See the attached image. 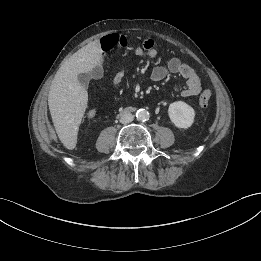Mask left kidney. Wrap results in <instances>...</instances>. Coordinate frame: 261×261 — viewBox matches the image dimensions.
<instances>
[{
    "label": "left kidney",
    "mask_w": 261,
    "mask_h": 261,
    "mask_svg": "<svg viewBox=\"0 0 261 261\" xmlns=\"http://www.w3.org/2000/svg\"><path fill=\"white\" fill-rule=\"evenodd\" d=\"M168 115L176 127L187 129L194 122L195 110L183 101H176L169 105Z\"/></svg>",
    "instance_id": "1"
}]
</instances>
